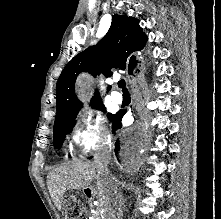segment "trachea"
Segmentation results:
<instances>
[{
    "label": "trachea",
    "mask_w": 221,
    "mask_h": 219,
    "mask_svg": "<svg viewBox=\"0 0 221 219\" xmlns=\"http://www.w3.org/2000/svg\"><path fill=\"white\" fill-rule=\"evenodd\" d=\"M118 87L119 88H122L123 89V91H127V88L125 87V80H120L119 82H118Z\"/></svg>",
    "instance_id": "obj_1"
}]
</instances>
